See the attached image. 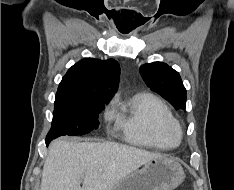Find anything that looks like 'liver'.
Wrapping results in <instances>:
<instances>
[{"instance_id":"liver-1","label":"liver","mask_w":234,"mask_h":190,"mask_svg":"<svg viewBox=\"0 0 234 190\" xmlns=\"http://www.w3.org/2000/svg\"><path fill=\"white\" fill-rule=\"evenodd\" d=\"M158 157L119 143L59 139L52 143L45 160L41 190H111L121 179Z\"/></svg>"}]
</instances>
